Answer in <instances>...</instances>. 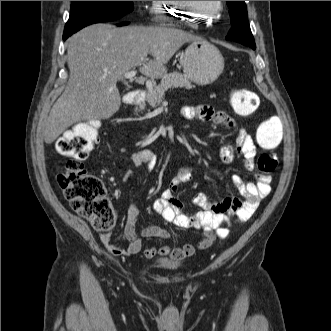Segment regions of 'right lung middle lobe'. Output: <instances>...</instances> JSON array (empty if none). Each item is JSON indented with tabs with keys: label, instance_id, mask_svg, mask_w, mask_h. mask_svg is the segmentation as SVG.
I'll use <instances>...</instances> for the list:
<instances>
[{
	"label": "right lung middle lobe",
	"instance_id": "1",
	"mask_svg": "<svg viewBox=\"0 0 331 331\" xmlns=\"http://www.w3.org/2000/svg\"><path fill=\"white\" fill-rule=\"evenodd\" d=\"M133 10V1H72L64 35L99 22H114Z\"/></svg>",
	"mask_w": 331,
	"mask_h": 331
}]
</instances>
